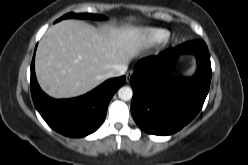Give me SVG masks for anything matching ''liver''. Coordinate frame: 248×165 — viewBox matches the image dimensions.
<instances>
[{"label": "liver", "mask_w": 248, "mask_h": 165, "mask_svg": "<svg viewBox=\"0 0 248 165\" xmlns=\"http://www.w3.org/2000/svg\"><path fill=\"white\" fill-rule=\"evenodd\" d=\"M147 47L143 30L135 26L100 30L81 21L64 20L51 26L39 42L35 58L38 83L54 98L80 96Z\"/></svg>", "instance_id": "obj_1"}]
</instances>
